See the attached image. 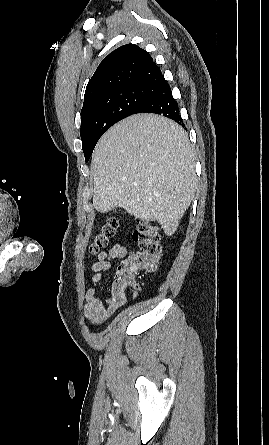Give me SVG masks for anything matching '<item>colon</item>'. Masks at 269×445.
Returning a JSON list of instances; mask_svg holds the SVG:
<instances>
[{
	"instance_id": "5ec220e1",
	"label": "colon",
	"mask_w": 269,
	"mask_h": 445,
	"mask_svg": "<svg viewBox=\"0 0 269 445\" xmlns=\"http://www.w3.org/2000/svg\"><path fill=\"white\" fill-rule=\"evenodd\" d=\"M118 225L116 217H110L103 223L90 245V252L98 253L101 248L107 246ZM133 237L138 245V250L118 268L113 286L116 291H125L134 286L138 270H153L160 260L161 244L155 226L142 222L134 231Z\"/></svg>"
}]
</instances>
